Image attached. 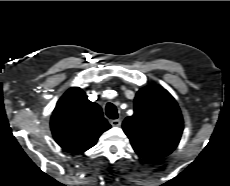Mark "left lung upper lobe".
<instances>
[{
  "label": "left lung upper lobe",
  "mask_w": 230,
  "mask_h": 186,
  "mask_svg": "<svg viewBox=\"0 0 230 186\" xmlns=\"http://www.w3.org/2000/svg\"><path fill=\"white\" fill-rule=\"evenodd\" d=\"M135 152L146 161L170 154L178 145L183 119L177 102L159 85L140 89L134 100V114L123 122Z\"/></svg>",
  "instance_id": "1"
}]
</instances>
